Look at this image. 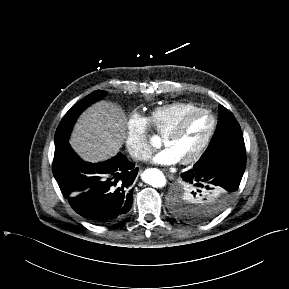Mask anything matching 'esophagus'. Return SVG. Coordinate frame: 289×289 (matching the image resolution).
<instances>
[{
	"mask_svg": "<svg viewBox=\"0 0 289 289\" xmlns=\"http://www.w3.org/2000/svg\"><path fill=\"white\" fill-rule=\"evenodd\" d=\"M167 174V177L169 178V179H173L174 178V176L172 175V174H170V173H166Z\"/></svg>",
	"mask_w": 289,
	"mask_h": 289,
	"instance_id": "obj_1",
	"label": "esophagus"
}]
</instances>
